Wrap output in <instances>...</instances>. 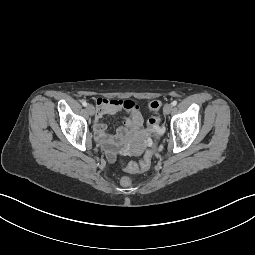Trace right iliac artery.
I'll return each mask as SVG.
<instances>
[{
    "label": "right iliac artery",
    "mask_w": 255,
    "mask_h": 255,
    "mask_svg": "<svg viewBox=\"0 0 255 255\" xmlns=\"http://www.w3.org/2000/svg\"><path fill=\"white\" fill-rule=\"evenodd\" d=\"M82 105H83L84 107H86V106H87V102H86L85 100H83V101H82Z\"/></svg>",
    "instance_id": "1"
}]
</instances>
